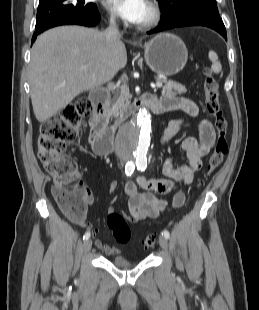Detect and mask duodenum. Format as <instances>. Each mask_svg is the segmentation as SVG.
<instances>
[{
    "mask_svg": "<svg viewBox=\"0 0 259 310\" xmlns=\"http://www.w3.org/2000/svg\"><path fill=\"white\" fill-rule=\"evenodd\" d=\"M108 96L107 89H97L90 97L92 103L90 141L93 151L98 155L109 154L113 149V136L107 111ZM133 107L135 112L143 108H148L157 114L165 112L158 99L152 95H144L137 99Z\"/></svg>",
    "mask_w": 259,
    "mask_h": 310,
    "instance_id": "1",
    "label": "duodenum"
}]
</instances>
